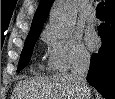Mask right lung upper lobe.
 <instances>
[{
    "label": "right lung upper lobe",
    "mask_w": 115,
    "mask_h": 99,
    "mask_svg": "<svg viewBox=\"0 0 115 99\" xmlns=\"http://www.w3.org/2000/svg\"><path fill=\"white\" fill-rule=\"evenodd\" d=\"M53 0H40L39 6L34 15L29 35L40 34L43 23L46 20ZM115 7V0H105L104 11Z\"/></svg>",
    "instance_id": "obj_1"
}]
</instances>
